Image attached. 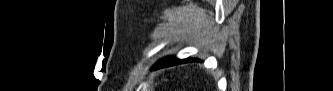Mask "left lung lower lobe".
Listing matches in <instances>:
<instances>
[{"label": "left lung lower lobe", "instance_id": "0a47b994", "mask_svg": "<svg viewBox=\"0 0 333 91\" xmlns=\"http://www.w3.org/2000/svg\"><path fill=\"white\" fill-rule=\"evenodd\" d=\"M193 61H196V59H189L188 58V59L179 60V59L174 58V57H169V58H165V59L159 61L154 66V69L165 67V66H171V65H174V64L185 63V62H193Z\"/></svg>", "mask_w": 333, "mask_h": 91}]
</instances>
